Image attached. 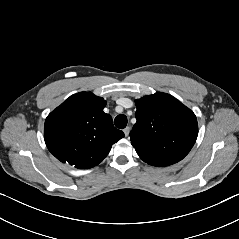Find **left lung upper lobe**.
<instances>
[{"mask_svg":"<svg viewBox=\"0 0 239 239\" xmlns=\"http://www.w3.org/2000/svg\"><path fill=\"white\" fill-rule=\"evenodd\" d=\"M135 102L137 122L130 138L139 157L157 167L182 160L197 139L195 114L166 93L144 96Z\"/></svg>","mask_w":239,"mask_h":239,"instance_id":"1","label":"left lung upper lobe"}]
</instances>
